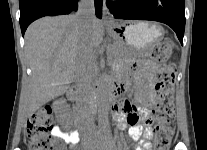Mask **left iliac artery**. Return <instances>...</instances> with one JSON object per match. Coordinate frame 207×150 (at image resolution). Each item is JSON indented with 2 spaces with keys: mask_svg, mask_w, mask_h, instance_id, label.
I'll list each match as a JSON object with an SVG mask.
<instances>
[{
  "mask_svg": "<svg viewBox=\"0 0 207 150\" xmlns=\"http://www.w3.org/2000/svg\"><path fill=\"white\" fill-rule=\"evenodd\" d=\"M106 137H107V140H108L109 142L112 141V136H111L109 130H107V132H106Z\"/></svg>",
  "mask_w": 207,
  "mask_h": 150,
  "instance_id": "44dca946",
  "label": "left iliac artery"
}]
</instances>
